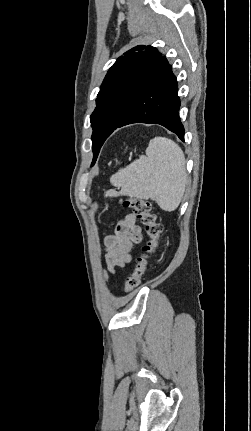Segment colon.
Wrapping results in <instances>:
<instances>
[{"label": "colon", "instance_id": "1", "mask_svg": "<svg viewBox=\"0 0 251 431\" xmlns=\"http://www.w3.org/2000/svg\"><path fill=\"white\" fill-rule=\"evenodd\" d=\"M123 207L129 208L144 226L149 240L142 247V253L136 259L135 267L125 284L126 293L135 291L146 271L149 259L155 254L159 247V238L163 227L158 222L157 215L153 212L152 204L144 199L131 197L120 200Z\"/></svg>", "mask_w": 251, "mask_h": 431}]
</instances>
